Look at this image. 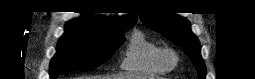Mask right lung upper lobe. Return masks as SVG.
I'll return each instance as SVG.
<instances>
[{
	"instance_id": "1",
	"label": "right lung upper lobe",
	"mask_w": 255,
	"mask_h": 79,
	"mask_svg": "<svg viewBox=\"0 0 255 79\" xmlns=\"http://www.w3.org/2000/svg\"><path fill=\"white\" fill-rule=\"evenodd\" d=\"M135 23L136 18L133 15H127L114 20L85 15L80 19L69 21L65 28L66 31H77L105 36H114L121 29L135 25Z\"/></svg>"
}]
</instances>
